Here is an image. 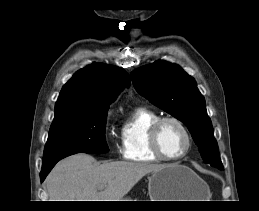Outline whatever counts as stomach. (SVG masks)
I'll return each instance as SVG.
<instances>
[{"label":"stomach","mask_w":259,"mask_h":211,"mask_svg":"<svg viewBox=\"0 0 259 211\" xmlns=\"http://www.w3.org/2000/svg\"><path fill=\"white\" fill-rule=\"evenodd\" d=\"M151 201H201L208 193L207 184L190 168L165 165L148 177ZM128 201V200H124Z\"/></svg>","instance_id":"0dacf381"}]
</instances>
